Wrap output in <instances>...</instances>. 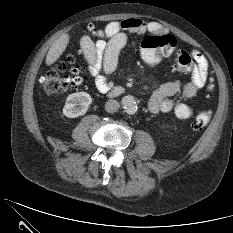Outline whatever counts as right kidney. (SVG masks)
I'll return each instance as SVG.
<instances>
[{
  "mask_svg": "<svg viewBox=\"0 0 233 233\" xmlns=\"http://www.w3.org/2000/svg\"><path fill=\"white\" fill-rule=\"evenodd\" d=\"M92 103L91 96L86 92L70 94L65 102L63 114L68 118H76L84 115Z\"/></svg>",
  "mask_w": 233,
  "mask_h": 233,
  "instance_id": "right-kidney-1",
  "label": "right kidney"
}]
</instances>
